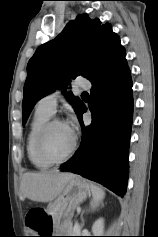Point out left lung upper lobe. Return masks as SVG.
I'll return each instance as SVG.
<instances>
[{
    "label": "left lung upper lobe",
    "mask_w": 158,
    "mask_h": 237,
    "mask_svg": "<svg viewBox=\"0 0 158 237\" xmlns=\"http://www.w3.org/2000/svg\"><path fill=\"white\" fill-rule=\"evenodd\" d=\"M124 59L125 49L110 24L101 25L97 18L78 15L54 40L39 46L29 60L22 102L23 125L39 99L66 86L71 78L81 75L94 83ZM68 99L79 114L83 102L71 92Z\"/></svg>",
    "instance_id": "1"
}]
</instances>
